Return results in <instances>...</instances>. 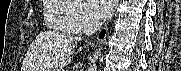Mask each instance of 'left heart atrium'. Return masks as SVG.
<instances>
[{
	"label": "left heart atrium",
	"instance_id": "left-heart-atrium-1",
	"mask_svg": "<svg viewBox=\"0 0 181 71\" xmlns=\"http://www.w3.org/2000/svg\"><path fill=\"white\" fill-rule=\"evenodd\" d=\"M87 2L93 14L99 19L109 17L116 3L113 0H88Z\"/></svg>",
	"mask_w": 181,
	"mask_h": 71
}]
</instances>
